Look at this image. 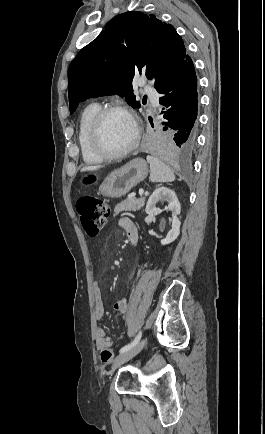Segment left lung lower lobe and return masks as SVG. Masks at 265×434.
Segmentation results:
<instances>
[{
	"instance_id": "obj_1",
	"label": "left lung lower lobe",
	"mask_w": 265,
	"mask_h": 434,
	"mask_svg": "<svg viewBox=\"0 0 265 434\" xmlns=\"http://www.w3.org/2000/svg\"><path fill=\"white\" fill-rule=\"evenodd\" d=\"M167 139H156L149 147L161 155L188 154L196 146L198 134L197 76L187 54L164 88L159 91Z\"/></svg>"
}]
</instances>
